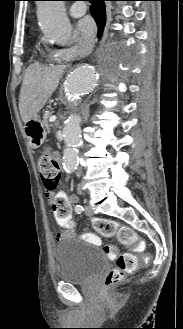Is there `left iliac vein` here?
I'll list each match as a JSON object with an SVG mask.
<instances>
[{
	"label": "left iliac vein",
	"instance_id": "obj_1",
	"mask_svg": "<svg viewBox=\"0 0 183 329\" xmlns=\"http://www.w3.org/2000/svg\"><path fill=\"white\" fill-rule=\"evenodd\" d=\"M84 212L87 216H92L93 215V210L92 207L90 205H85L84 207Z\"/></svg>",
	"mask_w": 183,
	"mask_h": 329
}]
</instances>
